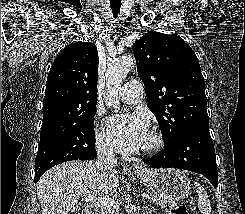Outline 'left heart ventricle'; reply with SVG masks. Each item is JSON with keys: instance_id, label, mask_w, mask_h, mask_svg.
<instances>
[{"instance_id": "left-heart-ventricle-1", "label": "left heart ventricle", "mask_w": 245, "mask_h": 214, "mask_svg": "<svg viewBox=\"0 0 245 214\" xmlns=\"http://www.w3.org/2000/svg\"><path fill=\"white\" fill-rule=\"evenodd\" d=\"M150 143H151V138L150 135H148L140 150L145 149L147 146L150 145Z\"/></svg>"}]
</instances>
